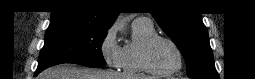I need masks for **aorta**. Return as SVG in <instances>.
<instances>
[{"label":"aorta","mask_w":255,"mask_h":79,"mask_svg":"<svg viewBox=\"0 0 255 79\" xmlns=\"http://www.w3.org/2000/svg\"><path fill=\"white\" fill-rule=\"evenodd\" d=\"M115 25L119 28V30H124V23L120 21L119 18L117 19Z\"/></svg>","instance_id":"aorta-1"}]
</instances>
